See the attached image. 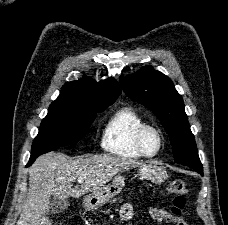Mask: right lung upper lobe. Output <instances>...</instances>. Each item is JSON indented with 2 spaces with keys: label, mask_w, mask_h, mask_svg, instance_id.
Wrapping results in <instances>:
<instances>
[{
  "label": "right lung upper lobe",
  "mask_w": 228,
  "mask_h": 225,
  "mask_svg": "<svg viewBox=\"0 0 228 225\" xmlns=\"http://www.w3.org/2000/svg\"><path fill=\"white\" fill-rule=\"evenodd\" d=\"M120 93L121 89L117 81L112 78L99 83L92 79L82 78L66 83L56 101L111 105Z\"/></svg>",
  "instance_id": "1"
}]
</instances>
